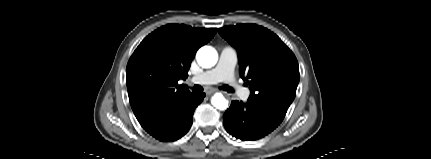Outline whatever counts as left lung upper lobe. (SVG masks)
Here are the masks:
<instances>
[{"instance_id": "obj_1", "label": "left lung upper lobe", "mask_w": 431, "mask_h": 159, "mask_svg": "<svg viewBox=\"0 0 431 159\" xmlns=\"http://www.w3.org/2000/svg\"><path fill=\"white\" fill-rule=\"evenodd\" d=\"M218 32L238 51L240 75L251 90L248 102L286 114L300 79L293 52L276 34L256 24L225 26Z\"/></svg>"}]
</instances>
